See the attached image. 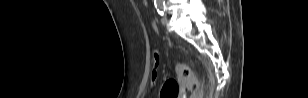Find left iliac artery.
Here are the masks:
<instances>
[{
	"mask_svg": "<svg viewBox=\"0 0 308 98\" xmlns=\"http://www.w3.org/2000/svg\"><path fill=\"white\" fill-rule=\"evenodd\" d=\"M155 7L157 9V12L163 16L165 13V3L164 2H158L157 4H155Z\"/></svg>",
	"mask_w": 308,
	"mask_h": 98,
	"instance_id": "left-iliac-artery-1",
	"label": "left iliac artery"
}]
</instances>
